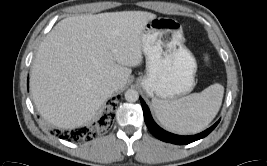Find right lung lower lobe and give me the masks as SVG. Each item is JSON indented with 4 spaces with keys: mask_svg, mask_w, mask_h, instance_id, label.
<instances>
[{
    "mask_svg": "<svg viewBox=\"0 0 267 166\" xmlns=\"http://www.w3.org/2000/svg\"><path fill=\"white\" fill-rule=\"evenodd\" d=\"M113 118V114L111 111L106 112L96 123H94L92 126L89 127H83L79 129H75L70 132H60L57 130V133L60 135L61 139H65L67 141L72 142H80L82 140L91 139L95 136V132L102 128L107 126L109 121Z\"/></svg>",
    "mask_w": 267,
    "mask_h": 166,
    "instance_id": "98d812e1",
    "label": "right lung lower lobe"
}]
</instances>
